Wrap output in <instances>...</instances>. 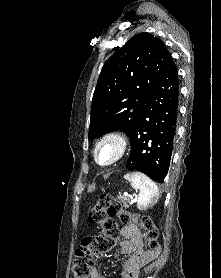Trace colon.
Segmentation results:
<instances>
[{"label":"colon","mask_w":221,"mask_h":278,"mask_svg":"<svg viewBox=\"0 0 221 278\" xmlns=\"http://www.w3.org/2000/svg\"><path fill=\"white\" fill-rule=\"evenodd\" d=\"M115 217H118L124 225L132 222L131 212L125 210L117 199L110 195L101 196L90 211L88 221L100 227L102 232L97 236L83 238L75 252L73 278H90L94 257L105 254L113 248L119 236ZM140 227L147 239L146 252L155 256L159 250L158 229L148 217L141 219Z\"/></svg>","instance_id":"5ec220e1"}]
</instances>
